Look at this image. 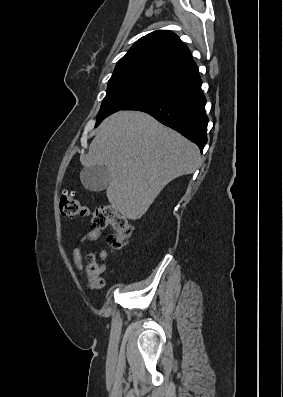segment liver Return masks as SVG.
<instances>
[{"label":"liver","instance_id":"1","mask_svg":"<svg viewBox=\"0 0 283 397\" xmlns=\"http://www.w3.org/2000/svg\"><path fill=\"white\" fill-rule=\"evenodd\" d=\"M80 161L85 167L108 169L110 204L137 220L170 181L200 166L201 155L194 143L150 115L119 111L101 123Z\"/></svg>","mask_w":283,"mask_h":397}]
</instances>
